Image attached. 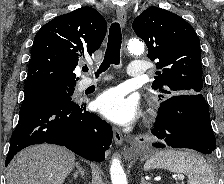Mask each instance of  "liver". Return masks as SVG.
Masks as SVG:
<instances>
[{"instance_id":"liver-1","label":"liver","mask_w":224,"mask_h":184,"mask_svg":"<svg viewBox=\"0 0 224 184\" xmlns=\"http://www.w3.org/2000/svg\"><path fill=\"white\" fill-rule=\"evenodd\" d=\"M75 166L64 147L40 144L20 151L6 171V184H62Z\"/></svg>"}]
</instances>
